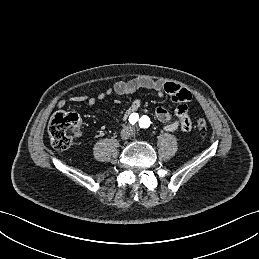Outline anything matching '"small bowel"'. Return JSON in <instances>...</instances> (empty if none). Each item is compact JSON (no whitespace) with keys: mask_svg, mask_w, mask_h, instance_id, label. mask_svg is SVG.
Segmentation results:
<instances>
[{"mask_svg":"<svg viewBox=\"0 0 259 259\" xmlns=\"http://www.w3.org/2000/svg\"><path fill=\"white\" fill-rule=\"evenodd\" d=\"M141 89L151 90L159 95H168L173 102H177L176 120H172L171 113L163 106H159L155 110L156 119L164 124V129L167 132L181 130L188 132L192 128L191 119L188 114L187 103L191 100V93L186 88L179 84L164 81H155L149 78L138 77L128 81H118L105 92L97 96L77 95L71 98L72 102H86L89 106H93L96 102L103 100L106 96L117 94L120 96L131 95ZM64 101L58 102V106H63ZM141 105L139 99H134L126 110L125 117L130 116L137 111Z\"/></svg>","mask_w":259,"mask_h":259,"instance_id":"small-bowel-1","label":"small bowel"}]
</instances>
